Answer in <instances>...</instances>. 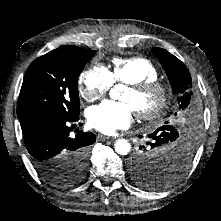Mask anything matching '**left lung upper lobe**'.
I'll use <instances>...</instances> for the list:
<instances>
[{"mask_svg": "<svg viewBox=\"0 0 221 221\" xmlns=\"http://www.w3.org/2000/svg\"><path fill=\"white\" fill-rule=\"evenodd\" d=\"M153 54L165 68L173 92L182 94L178 100V109L182 111L189 107L185 115L190 114L191 76L187 67L178 58L162 48L154 47ZM174 115L176 116L178 113L175 112ZM162 130L174 131L171 133L173 137L165 138L160 133ZM175 131L176 129L166 122V125L149 135L151 139V142L147 143L149 149L142 150L144 147H141L142 151L132 156L138 161L136 166L130 165L131 178L135 184L147 189H159L175 182L184 173L191 157V151L182 150L181 145H178L171 150L157 154L160 149L163 150L166 147V144L179 137L178 132Z\"/></svg>", "mask_w": 221, "mask_h": 221, "instance_id": "left-lung-upper-lobe-1", "label": "left lung upper lobe"}]
</instances>
